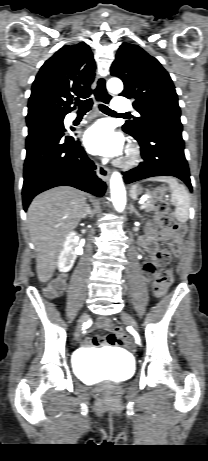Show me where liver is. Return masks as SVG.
I'll list each match as a JSON object with an SVG mask.
<instances>
[{"label":"liver","mask_w":208,"mask_h":461,"mask_svg":"<svg viewBox=\"0 0 208 461\" xmlns=\"http://www.w3.org/2000/svg\"><path fill=\"white\" fill-rule=\"evenodd\" d=\"M87 205L83 192L67 186L43 192L31 202L27 222L40 282L53 276L65 238L87 214Z\"/></svg>","instance_id":"1"}]
</instances>
